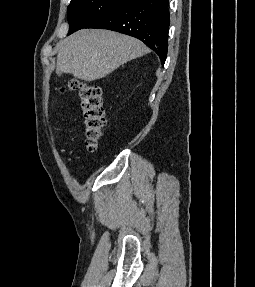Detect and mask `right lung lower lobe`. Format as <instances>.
Returning <instances> with one entry per match:
<instances>
[{"mask_svg":"<svg viewBox=\"0 0 255 287\" xmlns=\"http://www.w3.org/2000/svg\"><path fill=\"white\" fill-rule=\"evenodd\" d=\"M170 14L168 0H129L86 28L118 31L140 39L166 60Z\"/></svg>","mask_w":255,"mask_h":287,"instance_id":"1","label":"right lung lower lobe"}]
</instances>
